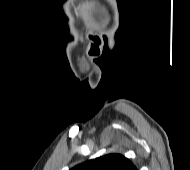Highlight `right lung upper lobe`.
<instances>
[{
    "label": "right lung upper lobe",
    "mask_w": 190,
    "mask_h": 170,
    "mask_svg": "<svg viewBox=\"0 0 190 170\" xmlns=\"http://www.w3.org/2000/svg\"><path fill=\"white\" fill-rule=\"evenodd\" d=\"M70 170H137V168L123 155L114 153L81 163Z\"/></svg>",
    "instance_id": "right-lung-upper-lobe-1"
}]
</instances>
